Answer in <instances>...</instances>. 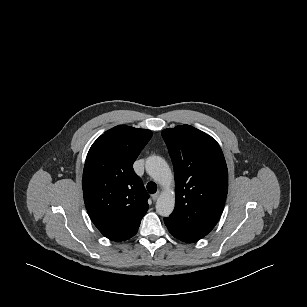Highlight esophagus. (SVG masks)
I'll use <instances>...</instances> for the list:
<instances>
[{"label":"esophagus","instance_id":"1","mask_svg":"<svg viewBox=\"0 0 307 307\" xmlns=\"http://www.w3.org/2000/svg\"><path fill=\"white\" fill-rule=\"evenodd\" d=\"M159 196H160V192H157V193L153 194V195H152L153 201H157L158 198H159Z\"/></svg>","mask_w":307,"mask_h":307}]
</instances>
